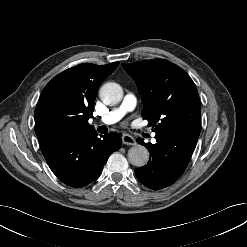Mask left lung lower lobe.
Here are the masks:
<instances>
[{"instance_id": "0a47b994", "label": "left lung lower lobe", "mask_w": 247, "mask_h": 247, "mask_svg": "<svg viewBox=\"0 0 247 247\" xmlns=\"http://www.w3.org/2000/svg\"><path fill=\"white\" fill-rule=\"evenodd\" d=\"M157 143L137 142L148 148L150 160L135 169L139 181L148 188L159 190L173 184L185 171L196 147L197 136L188 135L178 128L168 129L155 136Z\"/></svg>"}]
</instances>
